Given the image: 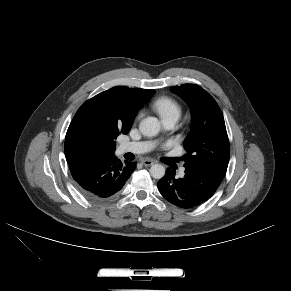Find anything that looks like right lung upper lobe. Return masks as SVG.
Masks as SVG:
<instances>
[{"label": "right lung upper lobe", "instance_id": "obj_1", "mask_svg": "<svg viewBox=\"0 0 291 291\" xmlns=\"http://www.w3.org/2000/svg\"><path fill=\"white\" fill-rule=\"evenodd\" d=\"M154 90L116 86L87 100L76 112L65 138V157L73 161L94 154L81 136V130L96 125L118 135L127 134L133 120Z\"/></svg>", "mask_w": 291, "mask_h": 291}]
</instances>
